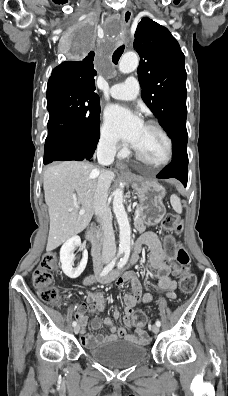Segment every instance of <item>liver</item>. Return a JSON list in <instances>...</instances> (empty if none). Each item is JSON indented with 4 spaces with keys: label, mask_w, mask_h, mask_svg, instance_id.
I'll return each mask as SVG.
<instances>
[{
    "label": "liver",
    "mask_w": 228,
    "mask_h": 396,
    "mask_svg": "<svg viewBox=\"0 0 228 396\" xmlns=\"http://www.w3.org/2000/svg\"><path fill=\"white\" fill-rule=\"evenodd\" d=\"M99 175L97 167L79 161L61 162L45 170L43 188L50 218L47 251L57 248L89 225ZM114 176L112 173V179ZM76 205L84 208L83 215Z\"/></svg>",
    "instance_id": "obj_1"
}]
</instances>
